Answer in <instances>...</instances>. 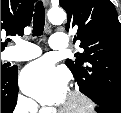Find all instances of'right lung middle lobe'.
Returning <instances> with one entry per match:
<instances>
[{"mask_svg":"<svg viewBox=\"0 0 121 113\" xmlns=\"http://www.w3.org/2000/svg\"><path fill=\"white\" fill-rule=\"evenodd\" d=\"M6 71H7L6 67L1 65V74L6 72Z\"/></svg>","mask_w":121,"mask_h":113,"instance_id":"obj_1","label":"right lung middle lobe"}]
</instances>
